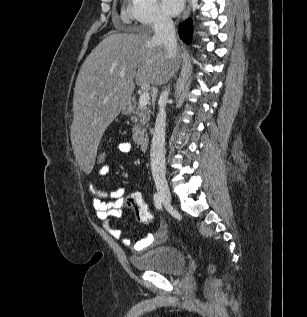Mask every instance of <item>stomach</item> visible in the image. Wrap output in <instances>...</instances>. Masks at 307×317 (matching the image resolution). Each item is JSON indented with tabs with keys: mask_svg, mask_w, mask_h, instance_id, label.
<instances>
[{
	"mask_svg": "<svg viewBox=\"0 0 307 317\" xmlns=\"http://www.w3.org/2000/svg\"><path fill=\"white\" fill-rule=\"evenodd\" d=\"M120 111L122 112V114L127 115L132 111V106H131V102L127 101L125 102L121 108Z\"/></svg>",
	"mask_w": 307,
	"mask_h": 317,
	"instance_id": "0dacf381",
	"label": "stomach"
}]
</instances>
